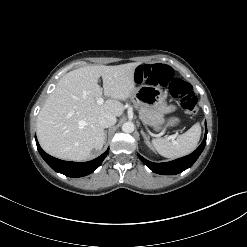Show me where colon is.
<instances>
[{"instance_id":"obj_1","label":"colon","mask_w":247,"mask_h":247,"mask_svg":"<svg viewBox=\"0 0 247 247\" xmlns=\"http://www.w3.org/2000/svg\"><path fill=\"white\" fill-rule=\"evenodd\" d=\"M138 82L168 86L173 98L178 100L182 109L189 115L197 112V97L189 83L174 76L171 67L164 64H144L135 70Z\"/></svg>"}]
</instances>
